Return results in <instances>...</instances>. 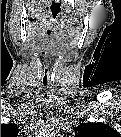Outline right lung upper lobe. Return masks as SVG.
<instances>
[{"instance_id":"cb5924a9","label":"right lung upper lobe","mask_w":121,"mask_h":137,"mask_svg":"<svg viewBox=\"0 0 121 137\" xmlns=\"http://www.w3.org/2000/svg\"><path fill=\"white\" fill-rule=\"evenodd\" d=\"M17 126L15 124H6V125H1V133H9V130H15Z\"/></svg>"}]
</instances>
